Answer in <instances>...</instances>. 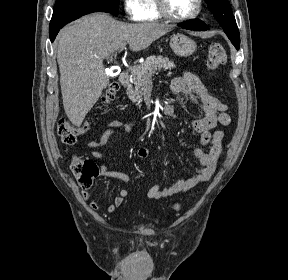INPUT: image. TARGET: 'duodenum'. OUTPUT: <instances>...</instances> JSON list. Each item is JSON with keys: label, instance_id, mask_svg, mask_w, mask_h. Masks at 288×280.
<instances>
[{"label": "duodenum", "instance_id": "1", "mask_svg": "<svg viewBox=\"0 0 288 280\" xmlns=\"http://www.w3.org/2000/svg\"><path fill=\"white\" fill-rule=\"evenodd\" d=\"M120 83L121 85L126 88L129 86L130 84V74L129 72L127 71H123L121 74H120Z\"/></svg>", "mask_w": 288, "mask_h": 280}]
</instances>
